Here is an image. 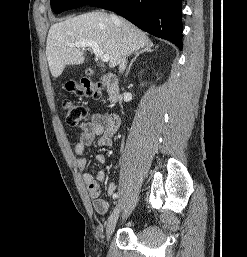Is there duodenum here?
Returning a JSON list of instances; mask_svg holds the SVG:
<instances>
[{
  "label": "duodenum",
  "instance_id": "1",
  "mask_svg": "<svg viewBox=\"0 0 247 257\" xmlns=\"http://www.w3.org/2000/svg\"><path fill=\"white\" fill-rule=\"evenodd\" d=\"M91 73V71H89ZM102 84L106 87L107 98L110 104H114L119 95V81L113 74L107 73L99 77Z\"/></svg>",
  "mask_w": 247,
  "mask_h": 257
}]
</instances>
